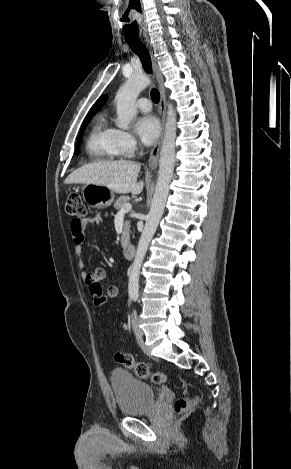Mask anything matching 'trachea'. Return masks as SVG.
Instances as JSON below:
<instances>
[{"mask_svg": "<svg viewBox=\"0 0 291 469\" xmlns=\"http://www.w3.org/2000/svg\"><path fill=\"white\" fill-rule=\"evenodd\" d=\"M126 40L131 47L132 51L140 58L143 68L149 74L152 73L151 58L148 50L142 43L139 37H126ZM151 99L154 103H158L160 100V93L157 89L151 90Z\"/></svg>", "mask_w": 291, "mask_h": 469, "instance_id": "1", "label": "trachea"}]
</instances>
